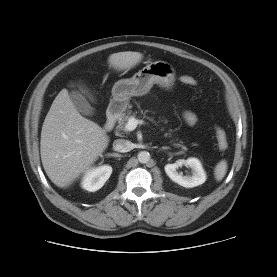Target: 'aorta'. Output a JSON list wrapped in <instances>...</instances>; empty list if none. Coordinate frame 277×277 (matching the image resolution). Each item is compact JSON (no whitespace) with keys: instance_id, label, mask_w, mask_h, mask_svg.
I'll list each match as a JSON object with an SVG mask.
<instances>
[{"instance_id":"1","label":"aorta","mask_w":277,"mask_h":277,"mask_svg":"<svg viewBox=\"0 0 277 277\" xmlns=\"http://www.w3.org/2000/svg\"><path fill=\"white\" fill-rule=\"evenodd\" d=\"M138 160L140 163H147L150 160V154L147 151H141L138 153Z\"/></svg>"}]
</instances>
